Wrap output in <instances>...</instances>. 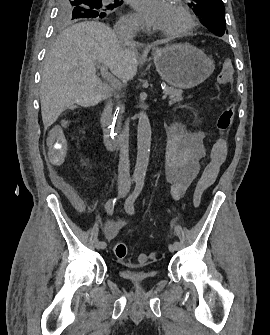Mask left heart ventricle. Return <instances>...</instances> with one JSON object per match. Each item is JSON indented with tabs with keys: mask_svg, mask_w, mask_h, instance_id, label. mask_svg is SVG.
<instances>
[{
	"mask_svg": "<svg viewBox=\"0 0 270 335\" xmlns=\"http://www.w3.org/2000/svg\"><path fill=\"white\" fill-rule=\"evenodd\" d=\"M184 24V20L183 18L176 12L175 17H174V29L175 31L178 30L179 28H181ZM177 52H189V51H177Z\"/></svg>",
	"mask_w": 270,
	"mask_h": 335,
	"instance_id": "obj_1",
	"label": "left heart ventricle"
}]
</instances>
